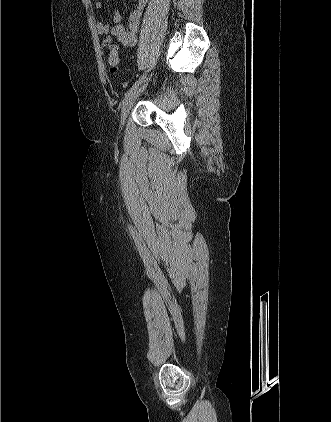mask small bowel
<instances>
[{
  "mask_svg": "<svg viewBox=\"0 0 331 422\" xmlns=\"http://www.w3.org/2000/svg\"><path fill=\"white\" fill-rule=\"evenodd\" d=\"M147 1L148 0H137V5L129 16L127 27H124L122 24V17L118 9L114 12L113 25L111 27L106 22L97 21V33L105 36L102 40V46L104 48L108 49L111 53L117 54L121 48H129L135 44L136 33L138 31ZM94 7L96 9H101L102 2L96 1ZM113 40L116 41V44H113Z\"/></svg>",
  "mask_w": 331,
  "mask_h": 422,
  "instance_id": "c3829d8e",
  "label": "small bowel"
}]
</instances>
